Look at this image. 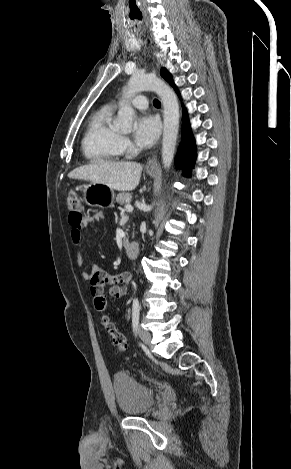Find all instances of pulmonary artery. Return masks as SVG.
Wrapping results in <instances>:
<instances>
[{
    "label": "pulmonary artery",
    "mask_w": 291,
    "mask_h": 469,
    "mask_svg": "<svg viewBox=\"0 0 291 469\" xmlns=\"http://www.w3.org/2000/svg\"><path fill=\"white\" fill-rule=\"evenodd\" d=\"M132 106L137 109H146L148 107V100L144 95H137L131 100Z\"/></svg>",
    "instance_id": "pulmonary-artery-1"
}]
</instances>
